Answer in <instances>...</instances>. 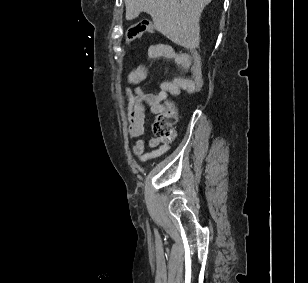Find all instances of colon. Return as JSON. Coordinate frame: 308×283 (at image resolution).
<instances>
[{
  "label": "colon",
  "mask_w": 308,
  "mask_h": 283,
  "mask_svg": "<svg viewBox=\"0 0 308 283\" xmlns=\"http://www.w3.org/2000/svg\"><path fill=\"white\" fill-rule=\"evenodd\" d=\"M148 31H155V27L148 20L139 21L131 25L125 33V40L131 42ZM191 56L190 86L186 92L189 94L197 93L203 85L204 74L201 55L198 50L189 49ZM176 121V107L173 102H166L161 112L157 114L152 125L151 131L156 139L171 141L175 137L174 124Z\"/></svg>",
  "instance_id": "obj_1"
}]
</instances>
